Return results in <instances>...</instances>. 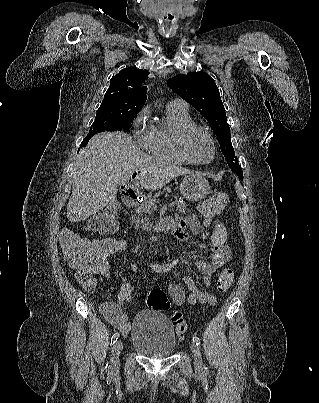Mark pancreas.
Listing matches in <instances>:
<instances>
[{
  "label": "pancreas",
  "mask_w": 319,
  "mask_h": 403,
  "mask_svg": "<svg viewBox=\"0 0 319 403\" xmlns=\"http://www.w3.org/2000/svg\"><path fill=\"white\" fill-rule=\"evenodd\" d=\"M156 203V198H152L144 201L136 210L138 216L133 217V222L136 224L135 228L141 227L143 230H149L152 223L149 221L148 214L152 213L155 209L151 206L150 203ZM177 211L181 214H185L188 211L186 210V204L184 202H177Z\"/></svg>",
  "instance_id": "pancreas-1"
}]
</instances>
